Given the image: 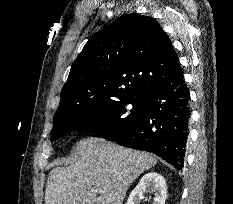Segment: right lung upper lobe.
Listing matches in <instances>:
<instances>
[{"instance_id":"1","label":"right lung upper lobe","mask_w":233,"mask_h":204,"mask_svg":"<svg viewBox=\"0 0 233 204\" xmlns=\"http://www.w3.org/2000/svg\"><path fill=\"white\" fill-rule=\"evenodd\" d=\"M178 63L155 19L124 15L94 34L72 64L54 124L109 101L147 96Z\"/></svg>"}]
</instances>
